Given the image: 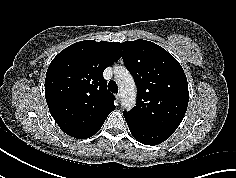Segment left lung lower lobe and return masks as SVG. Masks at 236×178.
Instances as JSON below:
<instances>
[{
  "instance_id": "0a47b994",
  "label": "left lung lower lobe",
  "mask_w": 236,
  "mask_h": 178,
  "mask_svg": "<svg viewBox=\"0 0 236 178\" xmlns=\"http://www.w3.org/2000/svg\"><path fill=\"white\" fill-rule=\"evenodd\" d=\"M133 137L145 145H157L168 139L172 133L154 130L126 121Z\"/></svg>"
}]
</instances>
